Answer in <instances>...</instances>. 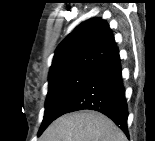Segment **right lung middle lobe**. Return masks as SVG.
I'll list each match as a JSON object with an SVG mask.
<instances>
[{
	"mask_svg": "<svg viewBox=\"0 0 155 141\" xmlns=\"http://www.w3.org/2000/svg\"><path fill=\"white\" fill-rule=\"evenodd\" d=\"M94 71V69L77 68L49 77L45 113L38 136H40L43 131L60 116L59 114L62 107Z\"/></svg>",
	"mask_w": 155,
	"mask_h": 141,
	"instance_id": "dd1d6c3e",
	"label": "right lung middle lobe"
}]
</instances>
